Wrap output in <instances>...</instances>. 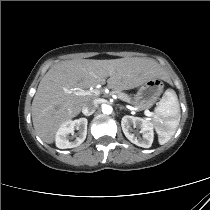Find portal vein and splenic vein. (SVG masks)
I'll return each instance as SVG.
<instances>
[{"mask_svg": "<svg viewBox=\"0 0 210 210\" xmlns=\"http://www.w3.org/2000/svg\"><path fill=\"white\" fill-rule=\"evenodd\" d=\"M74 93H75L76 95H80V96H85V95H90V94H93V95H95V96L100 95V91L97 90V89L89 90V91H85V90L74 91ZM146 115H149V114H146Z\"/></svg>", "mask_w": 210, "mask_h": 210, "instance_id": "18ae733b", "label": "portal vein and splenic vein"}]
</instances>
